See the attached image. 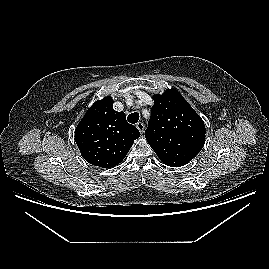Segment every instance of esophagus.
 Here are the masks:
<instances>
[{"mask_svg": "<svg viewBox=\"0 0 269 269\" xmlns=\"http://www.w3.org/2000/svg\"><path fill=\"white\" fill-rule=\"evenodd\" d=\"M136 127H137V129L139 130V132H140L141 134L144 132V128H145V126H144V124H143L142 122H138V123L136 124Z\"/></svg>", "mask_w": 269, "mask_h": 269, "instance_id": "esophagus-1", "label": "esophagus"}]
</instances>
